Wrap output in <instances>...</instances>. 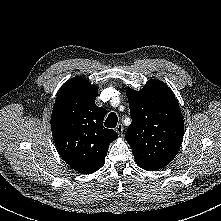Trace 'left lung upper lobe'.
Masks as SVG:
<instances>
[{"instance_id":"obj_1","label":"left lung upper lobe","mask_w":221,"mask_h":221,"mask_svg":"<svg viewBox=\"0 0 221 221\" xmlns=\"http://www.w3.org/2000/svg\"><path fill=\"white\" fill-rule=\"evenodd\" d=\"M132 123L126 132L135 162L148 171L164 168L176 156L184 121L171 89L150 81L140 91H127Z\"/></svg>"}]
</instances>
